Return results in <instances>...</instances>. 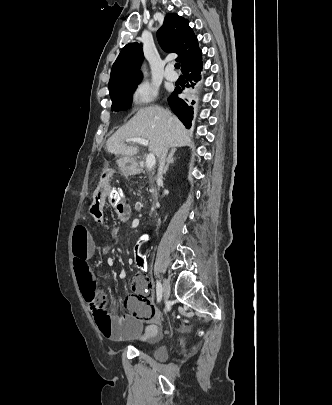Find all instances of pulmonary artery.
<instances>
[{"label":"pulmonary artery","instance_id":"obj_1","mask_svg":"<svg viewBox=\"0 0 332 405\" xmlns=\"http://www.w3.org/2000/svg\"><path fill=\"white\" fill-rule=\"evenodd\" d=\"M164 76L169 81H176L178 79L177 73L173 70L172 65H168L164 72Z\"/></svg>","mask_w":332,"mask_h":405}]
</instances>
